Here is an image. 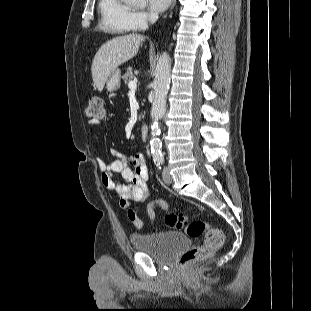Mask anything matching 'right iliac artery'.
Instances as JSON below:
<instances>
[{
	"label": "right iliac artery",
	"mask_w": 311,
	"mask_h": 311,
	"mask_svg": "<svg viewBox=\"0 0 311 311\" xmlns=\"http://www.w3.org/2000/svg\"><path fill=\"white\" fill-rule=\"evenodd\" d=\"M157 167L161 169L160 162H157Z\"/></svg>",
	"instance_id": "82829eb1"
}]
</instances>
